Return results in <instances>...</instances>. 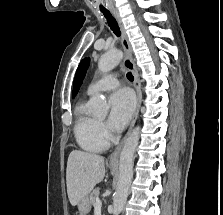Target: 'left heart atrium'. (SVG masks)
Instances as JSON below:
<instances>
[{
    "mask_svg": "<svg viewBox=\"0 0 223 215\" xmlns=\"http://www.w3.org/2000/svg\"><path fill=\"white\" fill-rule=\"evenodd\" d=\"M109 102V125L113 128L124 127L129 122L134 110L133 94L128 89H120L110 96Z\"/></svg>",
    "mask_w": 223,
    "mask_h": 215,
    "instance_id": "1",
    "label": "left heart atrium"
}]
</instances>
